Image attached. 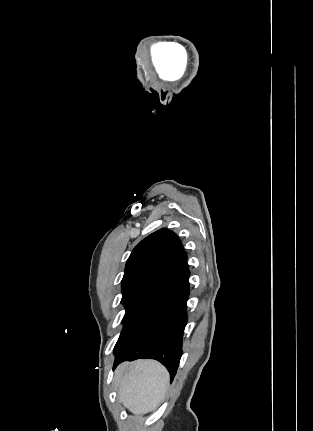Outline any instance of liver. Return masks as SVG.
Wrapping results in <instances>:
<instances>
[{"mask_svg":"<svg viewBox=\"0 0 313 431\" xmlns=\"http://www.w3.org/2000/svg\"><path fill=\"white\" fill-rule=\"evenodd\" d=\"M119 399L133 414H145L163 400L169 373L155 360H138L121 364L115 372Z\"/></svg>","mask_w":313,"mask_h":431,"instance_id":"1","label":"liver"}]
</instances>
